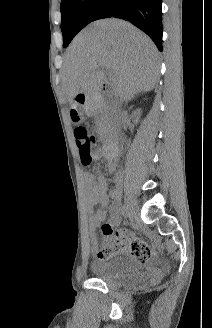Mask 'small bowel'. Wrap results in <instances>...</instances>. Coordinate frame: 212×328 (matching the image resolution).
<instances>
[{"label": "small bowel", "instance_id": "obj_1", "mask_svg": "<svg viewBox=\"0 0 212 328\" xmlns=\"http://www.w3.org/2000/svg\"><path fill=\"white\" fill-rule=\"evenodd\" d=\"M83 186L86 202L89 207L94 205H100L101 208L92 214L90 218L91 229L94 231L100 224H102L107 216L110 214L108 225L116 227L121 221V206H120V191L119 188L111 189L107 191V183L102 175L93 176L91 174H84ZM112 199L113 203L109 206V200ZM104 225V224H103ZM102 225V226H103ZM117 241L113 252L103 257L99 254L98 239L95 233L91 235L92 249L97 252V256L100 259H108L112 256L124 257V255H130L136 260L142 259L145 251L151 250L148 246L139 240L133 232L122 229L116 234Z\"/></svg>", "mask_w": 212, "mask_h": 328}]
</instances>
